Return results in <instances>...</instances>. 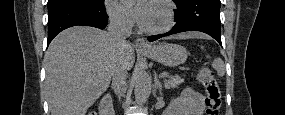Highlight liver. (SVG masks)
<instances>
[{"label":"liver","instance_id":"1","mask_svg":"<svg viewBox=\"0 0 285 115\" xmlns=\"http://www.w3.org/2000/svg\"><path fill=\"white\" fill-rule=\"evenodd\" d=\"M203 37L187 32L178 39ZM119 52L108 33L93 27L75 26L58 34L45 54V90L51 115H85L109 87ZM127 70L135 62L133 46L124 48Z\"/></svg>","mask_w":285,"mask_h":115}]
</instances>
